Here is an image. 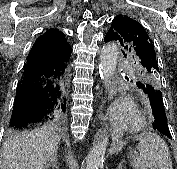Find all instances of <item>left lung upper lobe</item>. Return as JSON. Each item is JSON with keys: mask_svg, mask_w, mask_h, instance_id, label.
I'll list each match as a JSON object with an SVG mask.
<instances>
[{"mask_svg": "<svg viewBox=\"0 0 177 169\" xmlns=\"http://www.w3.org/2000/svg\"><path fill=\"white\" fill-rule=\"evenodd\" d=\"M112 40L121 44L124 56L132 57L141 67L144 82L159 89L160 70L154 45L144 27L126 15H118L104 38L107 42ZM137 85L143 84L139 82Z\"/></svg>", "mask_w": 177, "mask_h": 169, "instance_id": "obj_1", "label": "left lung upper lobe"}]
</instances>
